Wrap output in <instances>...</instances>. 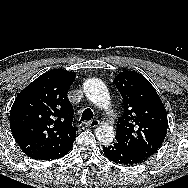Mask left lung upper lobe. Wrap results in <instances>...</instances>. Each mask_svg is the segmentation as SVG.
<instances>
[{"label":"left lung upper lobe","instance_id":"5c2ea615","mask_svg":"<svg viewBox=\"0 0 188 188\" xmlns=\"http://www.w3.org/2000/svg\"><path fill=\"white\" fill-rule=\"evenodd\" d=\"M114 82L124 105L117 122L116 143L151 157L167 133L166 109L154 87L141 74L124 71Z\"/></svg>","mask_w":188,"mask_h":188}]
</instances>
